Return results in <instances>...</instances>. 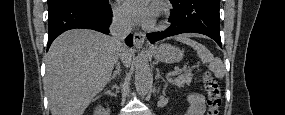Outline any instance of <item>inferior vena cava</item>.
Masks as SVG:
<instances>
[{
	"label": "inferior vena cava",
	"instance_id": "inferior-vena-cava-1",
	"mask_svg": "<svg viewBox=\"0 0 285 115\" xmlns=\"http://www.w3.org/2000/svg\"><path fill=\"white\" fill-rule=\"evenodd\" d=\"M132 26L133 22L128 15L115 14L113 16V20L110 25V33H111L110 40L117 47V50H121L124 47L123 40L131 32Z\"/></svg>",
	"mask_w": 285,
	"mask_h": 115
}]
</instances>
